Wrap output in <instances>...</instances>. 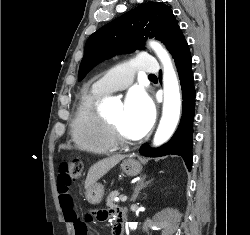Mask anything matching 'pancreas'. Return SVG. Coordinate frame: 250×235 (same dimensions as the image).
I'll return each mask as SVG.
<instances>
[{
	"label": "pancreas",
	"mask_w": 250,
	"mask_h": 235,
	"mask_svg": "<svg viewBox=\"0 0 250 235\" xmlns=\"http://www.w3.org/2000/svg\"><path fill=\"white\" fill-rule=\"evenodd\" d=\"M119 195V192L117 190L110 192V194L107 197L106 205L107 207H116V202L114 201V198Z\"/></svg>",
	"instance_id": "1"
}]
</instances>
